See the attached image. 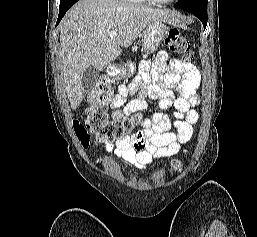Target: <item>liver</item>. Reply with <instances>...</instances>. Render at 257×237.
Returning <instances> with one entry per match:
<instances>
[{
  "label": "liver",
  "instance_id": "liver-1",
  "mask_svg": "<svg viewBox=\"0 0 257 237\" xmlns=\"http://www.w3.org/2000/svg\"><path fill=\"white\" fill-rule=\"evenodd\" d=\"M177 24L175 14L122 3L117 0H80L60 23L61 60L71 108L82 102L85 90L82 75L90 66L99 71L110 65L152 21ZM117 31L114 39L111 31Z\"/></svg>",
  "mask_w": 257,
  "mask_h": 237
}]
</instances>
